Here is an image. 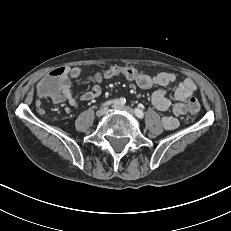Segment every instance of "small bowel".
<instances>
[{"instance_id": "obj_1", "label": "small bowel", "mask_w": 231, "mask_h": 231, "mask_svg": "<svg viewBox=\"0 0 231 231\" xmlns=\"http://www.w3.org/2000/svg\"><path fill=\"white\" fill-rule=\"evenodd\" d=\"M63 76L57 84L61 97L56 102H68L73 108H77L79 101H92L99 97L102 93V88L99 82L96 81L91 88L77 96L71 90L72 80L78 78L82 73L81 67H65L63 68ZM107 79V78H105ZM134 86L139 91H147L148 89L166 87L175 84L169 91L156 90L151 95L152 105L159 111L170 112L162 118V125L167 130H173L178 127V116L184 115V110L187 106L189 97L194 96L196 84L193 80L187 78L178 83L174 73L160 72L157 75L145 76L140 75L134 79ZM195 97V96H194Z\"/></svg>"}]
</instances>
